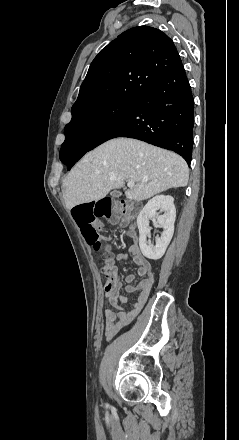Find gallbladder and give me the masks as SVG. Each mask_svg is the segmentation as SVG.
I'll return each instance as SVG.
<instances>
[{"instance_id":"gallbladder-1","label":"gallbladder","mask_w":239,"mask_h":440,"mask_svg":"<svg viewBox=\"0 0 239 440\" xmlns=\"http://www.w3.org/2000/svg\"><path fill=\"white\" fill-rule=\"evenodd\" d=\"M112 196H115V198H120V191L115 189V190L112 192Z\"/></svg>"}]
</instances>
